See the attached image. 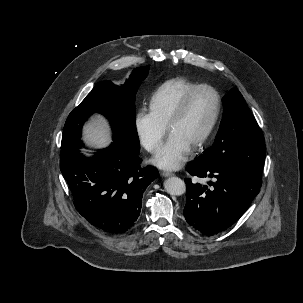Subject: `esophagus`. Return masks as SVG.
<instances>
[{
  "label": "esophagus",
  "mask_w": 303,
  "mask_h": 303,
  "mask_svg": "<svg viewBox=\"0 0 303 303\" xmlns=\"http://www.w3.org/2000/svg\"><path fill=\"white\" fill-rule=\"evenodd\" d=\"M162 175H163L164 177H169V176H173L174 173L169 172V171H163V172H162Z\"/></svg>",
  "instance_id": "1"
}]
</instances>
